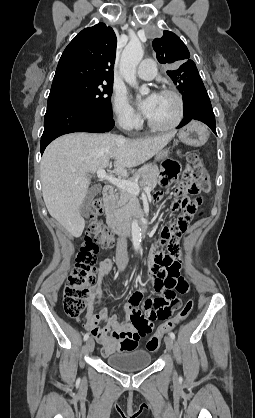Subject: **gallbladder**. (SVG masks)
<instances>
[{
    "label": "gallbladder",
    "instance_id": "obj_1",
    "mask_svg": "<svg viewBox=\"0 0 255 418\" xmlns=\"http://www.w3.org/2000/svg\"><path fill=\"white\" fill-rule=\"evenodd\" d=\"M101 185H93L92 187H90L87 191V194L85 196L84 202L80 207V211L83 214L87 213V207L88 205L91 203V201L94 199V197L96 195H98L101 192Z\"/></svg>",
    "mask_w": 255,
    "mask_h": 418
}]
</instances>
